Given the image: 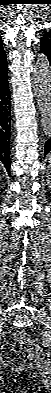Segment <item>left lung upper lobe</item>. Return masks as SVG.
<instances>
[{"instance_id": "left-lung-upper-lobe-1", "label": "left lung upper lobe", "mask_w": 51, "mask_h": 393, "mask_svg": "<svg viewBox=\"0 0 51 393\" xmlns=\"http://www.w3.org/2000/svg\"><path fill=\"white\" fill-rule=\"evenodd\" d=\"M40 51L47 55L49 61L51 62V30L44 33L41 38Z\"/></svg>"}]
</instances>
